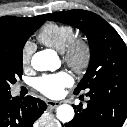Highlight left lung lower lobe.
<instances>
[{"label": "left lung lower lobe", "instance_id": "1", "mask_svg": "<svg viewBox=\"0 0 127 127\" xmlns=\"http://www.w3.org/2000/svg\"><path fill=\"white\" fill-rule=\"evenodd\" d=\"M87 96V107L73 106L75 117L66 127H122L127 117V87L101 86Z\"/></svg>", "mask_w": 127, "mask_h": 127}]
</instances>
